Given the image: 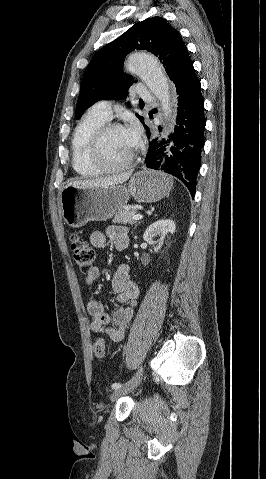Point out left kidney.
I'll use <instances>...</instances> for the list:
<instances>
[{
	"label": "left kidney",
	"instance_id": "5707ae66",
	"mask_svg": "<svg viewBox=\"0 0 266 479\" xmlns=\"http://www.w3.org/2000/svg\"><path fill=\"white\" fill-rule=\"evenodd\" d=\"M175 232V223L170 219H162L151 224L145 231L143 239L152 243L157 235H161V240L168 234Z\"/></svg>",
	"mask_w": 266,
	"mask_h": 479
}]
</instances>
